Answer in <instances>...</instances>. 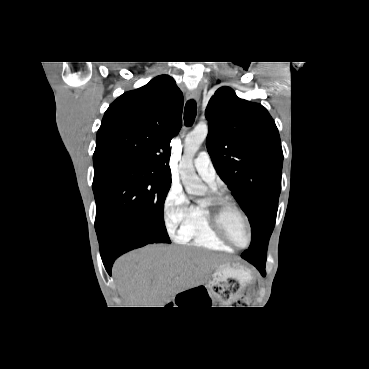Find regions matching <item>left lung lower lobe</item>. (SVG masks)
Returning a JSON list of instances; mask_svg holds the SVG:
<instances>
[{"label": "left lung lower lobe", "mask_w": 369, "mask_h": 369, "mask_svg": "<svg viewBox=\"0 0 369 369\" xmlns=\"http://www.w3.org/2000/svg\"><path fill=\"white\" fill-rule=\"evenodd\" d=\"M251 264H253L258 270L259 272L262 274V276H265L266 275V272H265V261H249Z\"/></svg>", "instance_id": "left-lung-lower-lobe-1"}]
</instances>
